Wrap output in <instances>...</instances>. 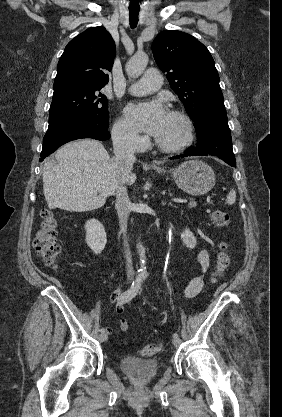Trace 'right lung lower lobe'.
<instances>
[{"label": "right lung lower lobe", "instance_id": "1", "mask_svg": "<svg viewBox=\"0 0 282 417\" xmlns=\"http://www.w3.org/2000/svg\"><path fill=\"white\" fill-rule=\"evenodd\" d=\"M108 122L101 123L89 116L71 115L54 120L49 123L48 131L43 139L41 158L43 159L57 150L66 142L80 139L93 138L97 140H107L110 138Z\"/></svg>", "mask_w": 282, "mask_h": 417}]
</instances>
